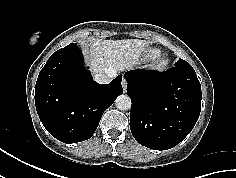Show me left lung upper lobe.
Masks as SVG:
<instances>
[{
  "instance_id": "obj_1",
  "label": "left lung upper lobe",
  "mask_w": 236,
  "mask_h": 178,
  "mask_svg": "<svg viewBox=\"0 0 236 178\" xmlns=\"http://www.w3.org/2000/svg\"><path fill=\"white\" fill-rule=\"evenodd\" d=\"M175 67H179V68H185V67H192L188 62L179 59L178 62L175 63Z\"/></svg>"
}]
</instances>
